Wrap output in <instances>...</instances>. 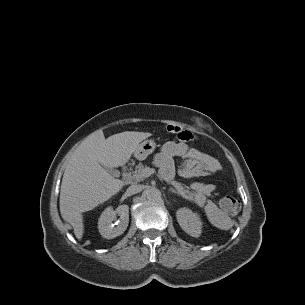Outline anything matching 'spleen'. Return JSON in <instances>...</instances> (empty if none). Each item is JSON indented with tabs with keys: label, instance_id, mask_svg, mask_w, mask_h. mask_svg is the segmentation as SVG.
<instances>
[{
	"label": "spleen",
	"instance_id": "obj_1",
	"mask_svg": "<svg viewBox=\"0 0 305 305\" xmlns=\"http://www.w3.org/2000/svg\"><path fill=\"white\" fill-rule=\"evenodd\" d=\"M222 228H225V224L221 225Z\"/></svg>",
	"mask_w": 305,
	"mask_h": 305
}]
</instances>
